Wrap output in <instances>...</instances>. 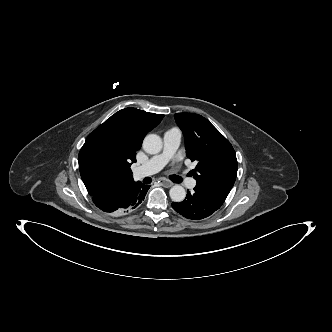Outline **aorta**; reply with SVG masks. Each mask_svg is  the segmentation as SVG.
I'll return each mask as SVG.
<instances>
[{
    "mask_svg": "<svg viewBox=\"0 0 332 332\" xmlns=\"http://www.w3.org/2000/svg\"><path fill=\"white\" fill-rule=\"evenodd\" d=\"M162 139L157 134H149L144 138L143 149L149 154H157L162 150ZM170 197L174 202H182L186 197L185 189L180 185H174L170 189Z\"/></svg>",
    "mask_w": 332,
    "mask_h": 332,
    "instance_id": "762f6f07",
    "label": "aorta"
}]
</instances>
